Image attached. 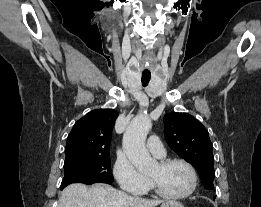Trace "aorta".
<instances>
[{
    "instance_id": "aorta-1",
    "label": "aorta",
    "mask_w": 261,
    "mask_h": 207,
    "mask_svg": "<svg viewBox=\"0 0 261 207\" xmlns=\"http://www.w3.org/2000/svg\"><path fill=\"white\" fill-rule=\"evenodd\" d=\"M151 127L152 122L148 116L137 115L123 135V149L129 161L140 172L149 170L155 163L145 144Z\"/></svg>"
}]
</instances>
